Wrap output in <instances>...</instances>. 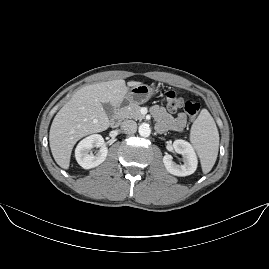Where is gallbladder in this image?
<instances>
[{"mask_svg": "<svg viewBox=\"0 0 269 269\" xmlns=\"http://www.w3.org/2000/svg\"><path fill=\"white\" fill-rule=\"evenodd\" d=\"M103 109L106 113V115L111 118L114 115V108L109 103H103L102 104Z\"/></svg>", "mask_w": 269, "mask_h": 269, "instance_id": "1", "label": "gallbladder"}]
</instances>
